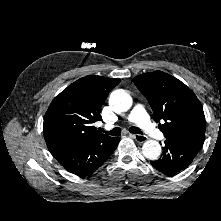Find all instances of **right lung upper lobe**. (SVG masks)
Returning a JSON list of instances; mask_svg holds the SVG:
<instances>
[{
    "mask_svg": "<svg viewBox=\"0 0 221 221\" xmlns=\"http://www.w3.org/2000/svg\"><path fill=\"white\" fill-rule=\"evenodd\" d=\"M120 79L86 76L78 79L51 102L43 124L49 151L95 143L109 136L99 133L93 123L101 120L100 107Z\"/></svg>",
    "mask_w": 221,
    "mask_h": 221,
    "instance_id": "obj_1",
    "label": "right lung upper lobe"
}]
</instances>
